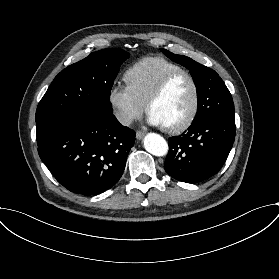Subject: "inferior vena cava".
<instances>
[{"instance_id": "602c4592", "label": "inferior vena cava", "mask_w": 279, "mask_h": 279, "mask_svg": "<svg viewBox=\"0 0 279 279\" xmlns=\"http://www.w3.org/2000/svg\"><path fill=\"white\" fill-rule=\"evenodd\" d=\"M116 118L124 126H129L133 121V117L124 112L116 113Z\"/></svg>"}]
</instances>
